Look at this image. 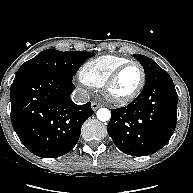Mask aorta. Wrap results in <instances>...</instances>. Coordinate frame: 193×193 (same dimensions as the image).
I'll return each mask as SVG.
<instances>
[{
  "label": "aorta",
  "instance_id": "aorta-1",
  "mask_svg": "<svg viewBox=\"0 0 193 193\" xmlns=\"http://www.w3.org/2000/svg\"><path fill=\"white\" fill-rule=\"evenodd\" d=\"M97 118L100 121H102V122L110 120V118H111L110 110L107 109V108H100V109H98V111H97Z\"/></svg>",
  "mask_w": 193,
  "mask_h": 193
}]
</instances>
